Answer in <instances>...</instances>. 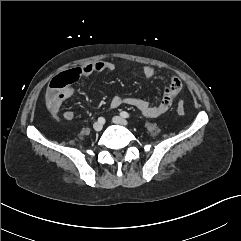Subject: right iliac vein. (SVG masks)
I'll use <instances>...</instances> for the list:
<instances>
[{
  "mask_svg": "<svg viewBox=\"0 0 241 241\" xmlns=\"http://www.w3.org/2000/svg\"><path fill=\"white\" fill-rule=\"evenodd\" d=\"M93 128H94V130L95 131H101L102 130V128H103V123H101V122H95L94 123V125H93Z\"/></svg>",
  "mask_w": 241,
  "mask_h": 241,
  "instance_id": "right-iliac-vein-1",
  "label": "right iliac vein"
}]
</instances>
